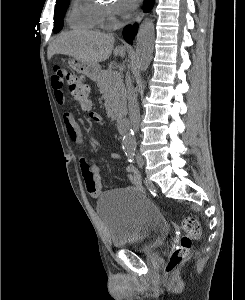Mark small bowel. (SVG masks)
Instances as JSON below:
<instances>
[{
  "label": "small bowel",
  "instance_id": "obj_1",
  "mask_svg": "<svg viewBox=\"0 0 245 300\" xmlns=\"http://www.w3.org/2000/svg\"><path fill=\"white\" fill-rule=\"evenodd\" d=\"M51 85L54 91L55 101L58 105H64L66 102L65 95L63 93V79L54 74L51 78ZM89 118L92 122L103 125V118L97 111H90ZM63 121L69 138L79 144L84 145V140L81 132V128L78 122L75 120L71 112H65L63 114ZM110 158L120 159L119 153H110ZM80 169L82 178L86 190L93 198H99L102 194L101 176L99 174V168L94 159L80 158ZM128 179L130 182L129 189L139 191L142 189V181L140 173L132 166L127 168Z\"/></svg>",
  "mask_w": 245,
  "mask_h": 300
}]
</instances>
